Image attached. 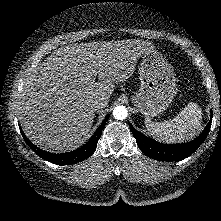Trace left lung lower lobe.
<instances>
[{
	"instance_id": "0a47b994",
	"label": "left lung lower lobe",
	"mask_w": 221,
	"mask_h": 221,
	"mask_svg": "<svg viewBox=\"0 0 221 221\" xmlns=\"http://www.w3.org/2000/svg\"><path fill=\"white\" fill-rule=\"evenodd\" d=\"M212 122L211 119L204 131L193 141L181 144H162L139 133L131 124L130 129L136 139L138 147L146 155L159 161L177 162L189 157L207 137Z\"/></svg>"
}]
</instances>
